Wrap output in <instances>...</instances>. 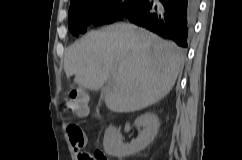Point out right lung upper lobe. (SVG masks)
Returning <instances> with one entry per match:
<instances>
[{
    "instance_id": "cb5924a9",
    "label": "right lung upper lobe",
    "mask_w": 242,
    "mask_h": 160,
    "mask_svg": "<svg viewBox=\"0 0 242 160\" xmlns=\"http://www.w3.org/2000/svg\"><path fill=\"white\" fill-rule=\"evenodd\" d=\"M80 1H83V0H71L70 5L76 4V3L80 2Z\"/></svg>"
}]
</instances>
